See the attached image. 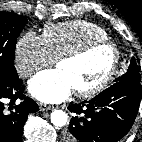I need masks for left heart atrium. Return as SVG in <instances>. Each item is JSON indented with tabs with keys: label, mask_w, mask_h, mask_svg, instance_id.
Instances as JSON below:
<instances>
[{
	"label": "left heart atrium",
	"mask_w": 142,
	"mask_h": 142,
	"mask_svg": "<svg viewBox=\"0 0 142 142\" xmlns=\"http://www.w3.org/2000/svg\"><path fill=\"white\" fill-rule=\"evenodd\" d=\"M33 97L44 103H57L65 100L73 91L68 76L60 69L45 70L36 74L28 84Z\"/></svg>",
	"instance_id": "39dd6f15"
}]
</instances>
